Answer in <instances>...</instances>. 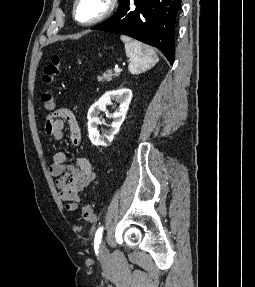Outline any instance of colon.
Returning <instances> with one entry per match:
<instances>
[{"label":"colon","instance_id":"colon-1","mask_svg":"<svg viewBox=\"0 0 255 287\" xmlns=\"http://www.w3.org/2000/svg\"><path fill=\"white\" fill-rule=\"evenodd\" d=\"M61 59L59 55H52L49 63L44 68L43 81L51 85L56 80L60 73ZM43 105L47 111H53L55 109V98L53 94L49 91H46L41 96ZM82 217L84 220L94 223L97 218L92 206L88 203L83 204L82 206Z\"/></svg>","mask_w":255,"mask_h":287}]
</instances>
